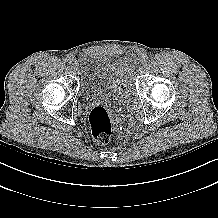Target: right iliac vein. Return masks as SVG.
Masks as SVG:
<instances>
[{
  "label": "right iliac vein",
  "instance_id": "right-iliac-vein-1",
  "mask_svg": "<svg viewBox=\"0 0 218 218\" xmlns=\"http://www.w3.org/2000/svg\"><path fill=\"white\" fill-rule=\"evenodd\" d=\"M70 66H71V69L76 72L79 68L78 61L76 59H72Z\"/></svg>",
  "mask_w": 218,
  "mask_h": 218
}]
</instances>
